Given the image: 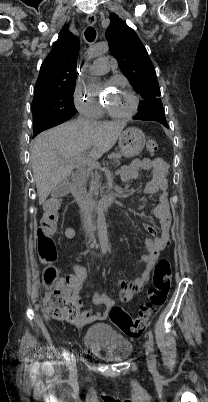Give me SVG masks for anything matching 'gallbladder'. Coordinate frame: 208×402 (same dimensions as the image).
<instances>
[{"mask_svg": "<svg viewBox=\"0 0 208 402\" xmlns=\"http://www.w3.org/2000/svg\"><path fill=\"white\" fill-rule=\"evenodd\" d=\"M71 188V183L69 181H60L58 186H55L54 190L51 192V197L53 199H58L60 195H66L67 190Z\"/></svg>", "mask_w": 208, "mask_h": 402, "instance_id": "1", "label": "gallbladder"}]
</instances>
